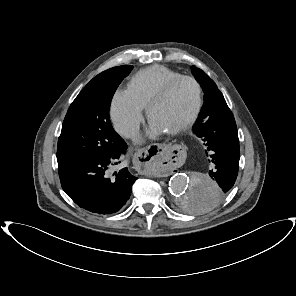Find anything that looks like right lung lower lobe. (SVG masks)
Listing matches in <instances>:
<instances>
[{"label": "right lung lower lobe", "mask_w": 296, "mask_h": 296, "mask_svg": "<svg viewBox=\"0 0 296 296\" xmlns=\"http://www.w3.org/2000/svg\"><path fill=\"white\" fill-rule=\"evenodd\" d=\"M127 144L114 154L101 155L90 160L59 168L61 186L65 193L81 208L97 214H113L121 210L131 194L137 177L127 168L109 177L113 164L121 163Z\"/></svg>", "instance_id": "obj_1"}]
</instances>
